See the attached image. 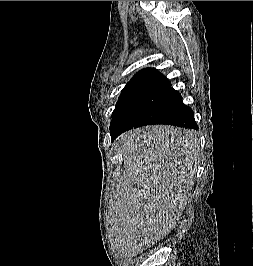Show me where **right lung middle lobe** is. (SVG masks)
<instances>
[{"mask_svg": "<svg viewBox=\"0 0 253 266\" xmlns=\"http://www.w3.org/2000/svg\"><path fill=\"white\" fill-rule=\"evenodd\" d=\"M174 91L171 86H159L119 97L111 124L136 128L161 121L172 105Z\"/></svg>", "mask_w": 253, "mask_h": 266, "instance_id": "obj_1", "label": "right lung middle lobe"}]
</instances>
